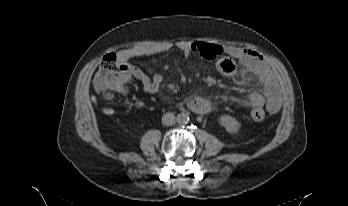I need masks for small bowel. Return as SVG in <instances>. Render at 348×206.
Returning <instances> with one entry per match:
<instances>
[{
	"instance_id": "small-bowel-1",
	"label": "small bowel",
	"mask_w": 348,
	"mask_h": 206,
	"mask_svg": "<svg viewBox=\"0 0 348 206\" xmlns=\"http://www.w3.org/2000/svg\"><path fill=\"white\" fill-rule=\"evenodd\" d=\"M173 48L180 51L185 57L197 55L205 60L214 61L218 71L227 76L237 72V62L244 71L256 76L258 85L263 90V94L257 91L250 92L244 102L253 107L265 106L267 111L272 114L279 111L281 91L276 77L264 59L250 50L235 47L225 48L204 41H179L174 46L162 43L124 50L119 53V58L128 65L132 76L141 83L143 91L152 95L160 89L163 81L162 76L158 73L148 74L129 64V60L135 57L168 52ZM190 105L195 108L199 105H205V102L202 98L195 96L190 100Z\"/></svg>"
}]
</instances>
